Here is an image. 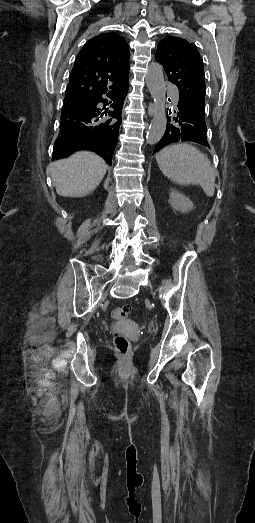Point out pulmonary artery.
I'll list each match as a JSON object with an SVG mask.
<instances>
[{"label": "pulmonary artery", "instance_id": "1", "mask_svg": "<svg viewBox=\"0 0 255 523\" xmlns=\"http://www.w3.org/2000/svg\"><path fill=\"white\" fill-rule=\"evenodd\" d=\"M167 88L169 93L168 98L170 100V106L172 108H177L179 106L177 84L175 82L169 81Z\"/></svg>", "mask_w": 255, "mask_h": 523}]
</instances>
